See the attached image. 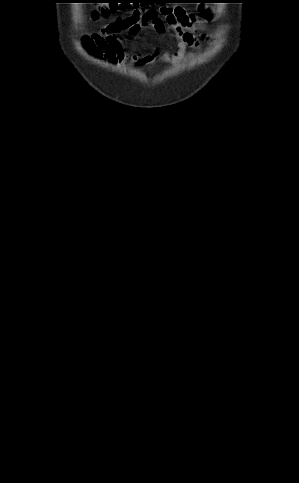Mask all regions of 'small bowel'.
<instances>
[{
  "mask_svg": "<svg viewBox=\"0 0 299 483\" xmlns=\"http://www.w3.org/2000/svg\"><path fill=\"white\" fill-rule=\"evenodd\" d=\"M210 16V13H206ZM166 17L168 30L176 39L175 51L160 52L154 48L147 54L127 53L124 50V41L120 36L122 31L136 34L141 29L150 26L155 32L163 33L166 27L160 18ZM195 16L182 7L164 8L160 11L143 8L134 9L124 17L114 19L106 24L100 31L82 37V47L92 58L108 62L111 65H152L157 61L180 64L187 60L191 54L187 48H199L200 40L196 35ZM207 40H210L207 38Z\"/></svg>",
  "mask_w": 299,
  "mask_h": 483,
  "instance_id": "1",
  "label": "small bowel"
}]
</instances>
